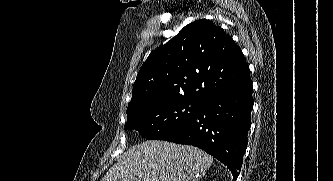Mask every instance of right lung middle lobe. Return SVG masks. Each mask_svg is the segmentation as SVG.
Returning <instances> with one entry per match:
<instances>
[{"instance_id":"1","label":"right lung middle lobe","mask_w":333,"mask_h":181,"mask_svg":"<svg viewBox=\"0 0 333 181\" xmlns=\"http://www.w3.org/2000/svg\"><path fill=\"white\" fill-rule=\"evenodd\" d=\"M201 101L173 99L149 103L127 112L126 130L146 139L167 140L179 133L197 113Z\"/></svg>"}]
</instances>
